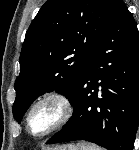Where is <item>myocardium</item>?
<instances>
[{
	"mask_svg": "<svg viewBox=\"0 0 139 150\" xmlns=\"http://www.w3.org/2000/svg\"><path fill=\"white\" fill-rule=\"evenodd\" d=\"M46 103H53L56 105L59 111L57 120L44 132L40 134H34L30 128L31 118L34 112L42 105ZM74 115V104L71 98L62 92H48L39 97L30 107L26 116V130L35 138L46 137L60 128L64 127Z\"/></svg>",
	"mask_w": 139,
	"mask_h": 150,
	"instance_id": "obj_1",
	"label": "myocardium"
}]
</instances>
